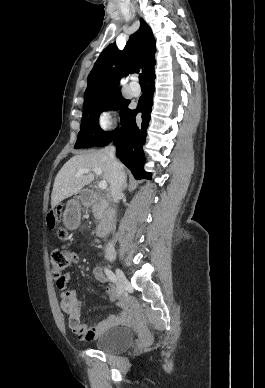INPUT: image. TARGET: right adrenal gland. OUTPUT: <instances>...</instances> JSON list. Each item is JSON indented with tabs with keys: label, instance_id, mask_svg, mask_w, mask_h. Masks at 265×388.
I'll list each match as a JSON object with an SVG mask.
<instances>
[{
	"label": "right adrenal gland",
	"instance_id": "2a0ac1e0",
	"mask_svg": "<svg viewBox=\"0 0 265 388\" xmlns=\"http://www.w3.org/2000/svg\"><path fill=\"white\" fill-rule=\"evenodd\" d=\"M124 182H125V184H124L122 190H125V188H128L127 178H125Z\"/></svg>",
	"mask_w": 265,
	"mask_h": 388
}]
</instances>
